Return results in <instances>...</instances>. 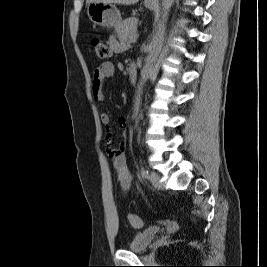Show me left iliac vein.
I'll return each mask as SVG.
<instances>
[{"instance_id":"1","label":"left iliac vein","mask_w":267,"mask_h":267,"mask_svg":"<svg viewBox=\"0 0 267 267\" xmlns=\"http://www.w3.org/2000/svg\"><path fill=\"white\" fill-rule=\"evenodd\" d=\"M149 180L154 187L156 188L161 187L160 176L157 173L151 172L149 175Z\"/></svg>"}]
</instances>
